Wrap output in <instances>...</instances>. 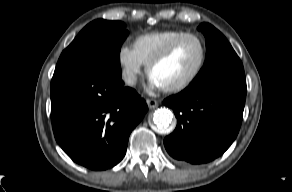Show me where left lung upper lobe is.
I'll list each match as a JSON object with an SVG mask.
<instances>
[{
    "instance_id": "left-lung-upper-lobe-1",
    "label": "left lung upper lobe",
    "mask_w": 292,
    "mask_h": 192,
    "mask_svg": "<svg viewBox=\"0 0 292 192\" xmlns=\"http://www.w3.org/2000/svg\"><path fill=\"white\" fill-rule=\"evenodd\" d=\"M200 30L206 38V61L190 84L225 76H245L241 60L230 43L215 27L202 23Z\"/></svg>"
}]
</instances>
